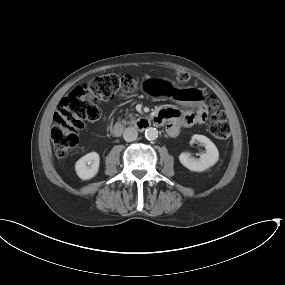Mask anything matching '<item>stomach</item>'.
<instances>
[{
    "label": "stomach",
    "mask_w": 285,
    "mask_h": 285,
    "mask_svg": "<svg viewBox=\"0 0 285 285\" xmlns=\"http://www.w3.org/2000/svg\"><path fill=\"white\" fill-rule=\"evenodd\" d=\"M158 84H163L172 91V96L175 101L186 107L195 106L198 101L202 98L199 91L192 87L179 88L175 84H169L166 81L160 79H146L144 82V87L146 90L151 91L153 86Z\"/></svg>",
    "instance_id": "obj_1"
}]
</instances>
